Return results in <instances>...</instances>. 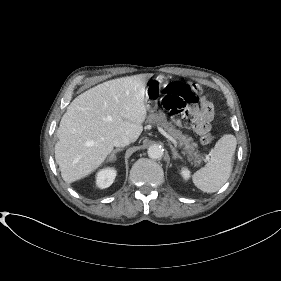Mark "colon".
<instances>
[{"label": "colon", "instance_id": "1", "mask_svg": "<svg viewBox=\"0 0 281 281\" xmlns=\"http://www.w3.org/2000/svg\"><path fill=\"white\" fill-rule=\"evenodd\" d=\"M201 87L196 83L171 82L164 89L162 105L174 116L178 117L179 122L188 127L193 123V117L185 113L189 105L196 104L199 100ZM214 141V135L206 133L201 137L203 145H210Z\"/></svg>", "mask_w": 281, "mask_h": 281}]
</instances>
